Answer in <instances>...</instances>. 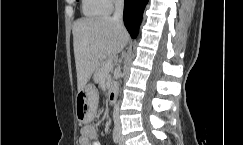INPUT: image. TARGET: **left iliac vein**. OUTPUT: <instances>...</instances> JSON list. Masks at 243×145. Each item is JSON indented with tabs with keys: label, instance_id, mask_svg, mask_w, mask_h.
I'll return each instance as SVG.
<instances>
[{
	"label": "left iliac vein",
	"instance_id": "left-iliac-vein-1",
	"mask_svg": "<svg viewBox=\"0 0 243 145\" xmlns=\"http://www.w3.org/2000/svg\"><path fill=\"white\" fill-rule=\"evenodd\" d=\"M119 145H125L122 133H121V129H119Z\"/></svg>",
	"mask_w": 243,
	"mask_h": 145
}]
</instances>
